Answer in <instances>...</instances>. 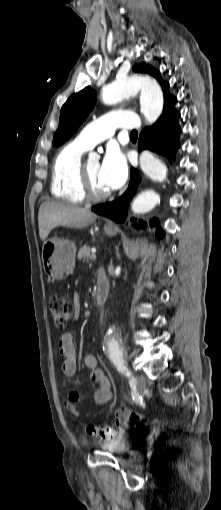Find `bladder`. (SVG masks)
I'll return each instance as SVG.
<instances>
[{
	"mask_svg": "<svg viewBox=\"0 0 221 510\" xmlns=\"http://www.w3.org/2000/svg\"><path fill=\"white\" fill-rule=\"evenodd\" d=\"M134 441L128 436L114 438L100 444L101 449L115 455L127 454L134 447Z\"/></svg>",
	"mask_w": 221,
	"mask_h": 510,
	"instance_id": "bladder-1",
	"label": "bladder"
}]
</instances>
